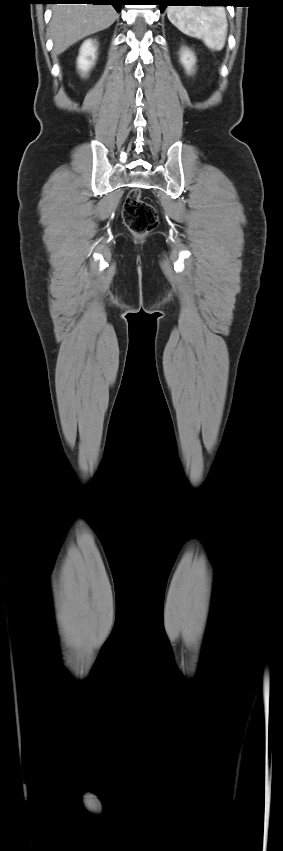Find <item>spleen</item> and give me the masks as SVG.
<instances>
[{
    "label": "spleen",
    "mask_w": 283,
    "mask_h": 851,
    "mask_svg": "<svg viewBox=\"0 0 283 851\" xmlns=\"http://www.w3.org/2000/svg\"><path fill=\"white\" fill-rule=\"evenodd\" d=\"M167 16L182 33L201 39L210 50L223 49L228 31L224 7L170 6Z\"/></svg>",
    "instance_id": "spleen-1"
}]
</instances>
